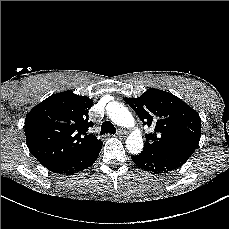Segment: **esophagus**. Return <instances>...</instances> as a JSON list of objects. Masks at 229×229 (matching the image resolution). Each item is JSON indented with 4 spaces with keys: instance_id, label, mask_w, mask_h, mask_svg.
I'll list each match as a JSON object with an SVG mask.
<instances>
[{
    "instance_id": "esophagus-1",
    "label": "esophagus",
    "mask_w": 229,
    "mask_h": 229,
    "mask_svg": "<svg viewBox=\"0 0 229 229\" xmlns=\"http://www.w3.org/2000/svg\"><path fill=\"white\" fill-rule=\"evenodd\" d=\"M126 134L127 132L125 130H122V129L117 130V135L120 137L125 136Z\"/></svg>"
}]
</instances>
